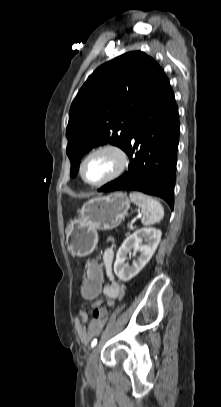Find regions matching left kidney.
Wrapping results in <instances>:
<instances>
[{
  "mask_svg": "<svg viewBox=\"0 0 221 407\" xmlns=\"http://www.w3.org/2000/svg\"><path fill=\"white\" fill-rule=\"evenodd\" d=\"M161 235V230L146 227L136 230L124 240L117 251L114 263V272L121 281L127 282L131 280L144 268L156 251L161 240ZM143 239L146 244L141 245ZM132 250L133 254L139 251L140 256L132 262L131 266L125 265L127 255L132 254Z\"/></svg>",
  "mask_w": 221,
  "mask_h": 407,
  "instance_id": "1",
  "label": "left kidney"
}]
</instances>
